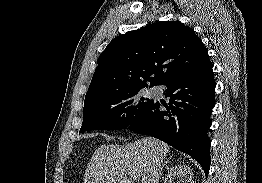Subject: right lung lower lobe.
Instances as JSON below:
<instances>
[{"mask_svg":"<svg viewBox=\"0 0 262 183\" xmlns=\"http://www.w3.org/2000/svg\"><path fill=\"white\" fill-rule=\"evenodd\" d=\"M213 64L185 71L167 78L165 87L169 100L157 101L145 109L127 127L130 131L158 138L194 158L206 176L210 167L211 141L207 131L211 126L210 112L215 101L216 83Z\"/></svg>","mask_w":262,"mask_h":183,"instance_id":"98d812e1","label":"right lung lower lobe"}]
</instances>
